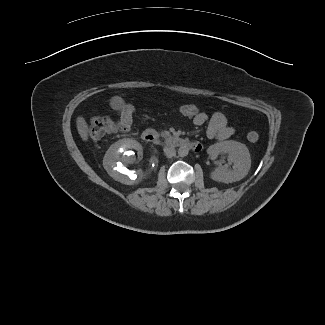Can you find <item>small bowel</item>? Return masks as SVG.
<instances>
[{
    "label": "small bowel",
    "mask_w": 325,
    "mask_h": 325,
    "mask_svg": "<svg viewBox=\"0 0 325 325\" xmlns=\"http://www.w3.org/2000/svg\"><path fill=\"white\" fill-rule=\"evenodd\" d=\"M191 119L196 126H202L208 123L206 134L210 139L225 140L235 133L234 127L228 125L227 118L219 111L212 113L210 116L204 112L203 117Z\"/></svg>",
    "instance_id": "small-bowel-1"
}]
</instances>
